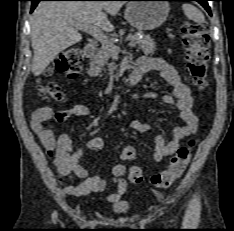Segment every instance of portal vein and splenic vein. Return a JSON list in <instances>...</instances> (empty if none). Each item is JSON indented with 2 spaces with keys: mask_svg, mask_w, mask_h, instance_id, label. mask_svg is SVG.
<instances>
[{
  "mask_svg": "<svg viewBox=\"0 0 234 231\" xmlns=\"http://www.w3.org/2000/svg\"><path fill=\"white\" fill-rule=\"evenodd\" d=\"M76 27L81 29L82 31L92 35L103 46H105L107 48H113L116 51L115 56L120 51L119 48L114 47L113 43L108 39L107 35H105L104 32L101 29H99L98 27H96L94 25L86 24V23H84V24L77 23ZM136 45H137V43L135 41H130L128 43L129 47H135Z\"/></svg>",
  "mask_w": 234,
  "mask_h": 231,
  "instance_id": "1",
  "label": "portal vein and splenic vein"
}]
</instances>
